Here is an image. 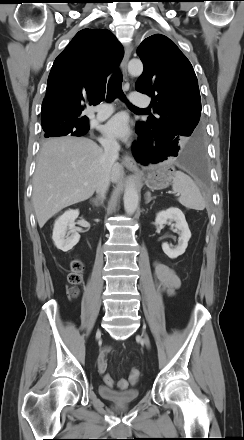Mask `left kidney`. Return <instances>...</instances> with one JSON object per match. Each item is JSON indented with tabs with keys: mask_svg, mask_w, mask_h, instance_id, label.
I'll return each mask as SVG.
<instances>
[{
	"mask_svg": "<svg viewBox=\"0 0 244 440\" xmlns=\"http://www.w3.org/2000/svg\"><path fill=\"white\" fill-rule=\"evenodd\" d=\"M155 222L159 225L175 222V227L181 231L179 243L175 248H171L167 243H163L162 249L171 259L182 255L188 246L189 239L191 238V232L183 212L178 208L171 207L165 211L159 212L156 216Z\"/></svg>",
	"mask_w": 244,
	"mask_h": 440,
	"instance_id": "obj_1",
	"label": "left kidney"
}]
</instances>
